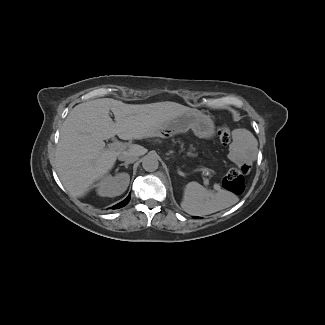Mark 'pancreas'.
Instances as JSON below:
<instances>
[{
  "mask_svg": "<svg viewBox=\"0 0 325 325\" xmlns=\"http://www.w3.org/2000/svg\"><path fill=\"white\" fill-rule=\"evenodd\" d=\"M167 143L169 145L175 146L177 149H180L191 160H196L198 158V153L191 147L186 141H183L177 137L169 136L167 138Z\"/></svg>",
  "mask_w": 325,
  "mask_h": 325,
  "instance_id": "cf45deb5",
  "label": "pancreas"
}]
</instances>
